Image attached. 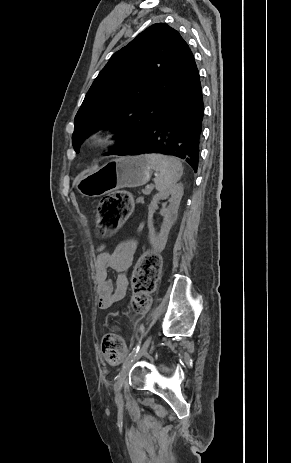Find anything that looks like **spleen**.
<instances>
[{
    "label": "spleen",
    "instance_id": "obj_1",
    "mask_svg": "<svg viewBox=\"0 0 291 463\" xmlns=\"http://www.w3.org/2000/svg\"><path fill=\"white\" fill-rule=\"evenodd\" d=\"M145 158L156 171L155 186L158 191H165L180 180L183 167L177 159L160 154H146Z\"/></svg>",
    "mask_w": 291,
    "mask_h": 463
}]
</instances>
